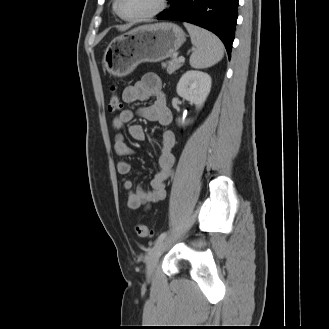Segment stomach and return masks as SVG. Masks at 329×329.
<instances>
[{"instance_id": "stomach-1", "label": "stomach", "mask_w": 329, "mask_h": 329, "mask_svg": "<svg viewBox=\"0 0 329 329\" xmlns=\"http://www.w3.org/2000/svg\"><path fill=\"white\" fill-rule=\"evenodd\" d=\"M185 36L178 25L169 22L139 26L109 43L103 56L105 69L113 76H126L140 63L171 57L184 43Z\"/></svg>"}]
</instances>
